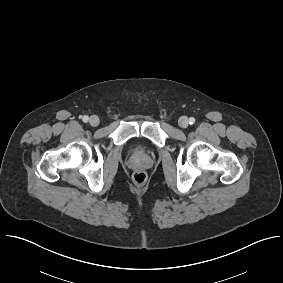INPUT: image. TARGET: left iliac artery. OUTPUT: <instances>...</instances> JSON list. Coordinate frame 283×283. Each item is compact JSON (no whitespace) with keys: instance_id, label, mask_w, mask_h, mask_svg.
Masks as SVG:
<instances>
[{"instance_id":"obj_1","label":"left iliac artery","mask_w":283,"mask_h":283,"mask_svg":"<svg viewBox=\"0 0 283 283\" xmlns=\"http://www.w3.org/2000/svg\"><path fill=\"white\" fill-rule=\"evenodd\" d=\"M194 123H195V118L191 117V118L189 119V124L192 125V124H194Z\"/></svg>"}]
</instances>
